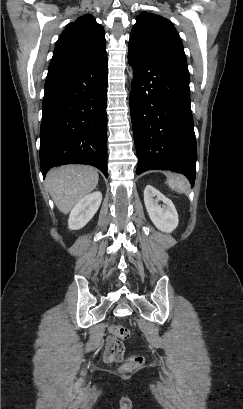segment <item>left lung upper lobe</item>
Here are the masks:
<instances>
[{
	"instance_id": "left-lung-upper-lobe-1",
	"label": "left lung upper lobe",
	"mask_w": 243,
	"mask_h": 409,
	"mask_svg": "<svg viewBox=\"0 0 243 409\" xmlns=\"http://www.w3.org/2000/svg\"><path fill=\"white\" fill-rule=\"evenodd\" d=\"M136 21L130 34L128 55L141 60L169 53L185 55L179 34L168 19L142 12Z\"/></svg>"
}]
</instances>
